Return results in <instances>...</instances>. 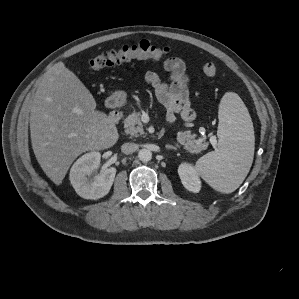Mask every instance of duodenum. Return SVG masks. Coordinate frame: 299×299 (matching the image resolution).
I'll list each match as a JSON object with an SVG mask.
<instances>
[{
	"mask_svg": "<svg viewBox=\"0 0 299 299\" xmlns=\"http://www.w3.org/2000/svg\"><path fill=\"white\" fill-rule=\"evenodd\" d=\"M111 103L113 107L109 113V122L113 125H117L123 116L122 108L120 104L115 103L114 98L111 99Z\"/></svg>",
	"mask_w": 299,
	"mask_h": 299,
	"instance_id": "1",
	"label": "duodenum"
}]
</instances>
